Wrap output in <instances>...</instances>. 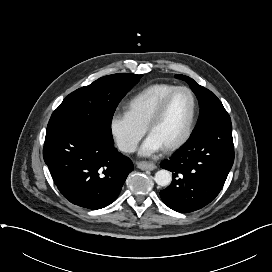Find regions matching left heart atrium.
<instances>
[{"mask_svg":"<svg viewBox=\"0 0 272 272\" xmlns=\"http://www.w3.org/2000/svg\"><path fill=\"white\" fill-rule=\"evenodd\" d=\"M163 148L162 144L153 136L149 135L142 147L140 148L141 155H151Z\"/></svg>","mask_w":272,"mask_h":272,"instance_id":"1","label":"left heart atrium"}]
</instances>
